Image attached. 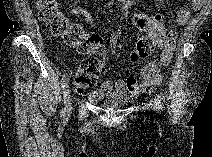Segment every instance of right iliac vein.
Returning <instances> with one entry per match:
<instances>
[{
	"mask_svg": "<svg viewBox=\"0 0 212 157\" xmlns=\"http://www.w3.org/2000/svg\"><path fill=\"white\" fill-rule=\"evenodd\" d=\"M63 100H64V112L70 113L71 111V97H70V90L66 85L64 92H63Z\"/></svg>",
	"mask_w": 212,
	"mask_h": 157,
	"instance_id": "1",
	"label": "right iliac vein"
}]
</instances>
